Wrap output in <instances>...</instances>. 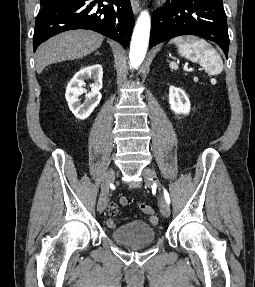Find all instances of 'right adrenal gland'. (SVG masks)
<instances>
[{"label": "right adrenal gland", "mask_w": 255, "mask_h": 287, "mask_svg": "<svg viewBox=\"0 0 255 287\" xmlns=\"http://www.w3.org/2000/svg\"><path fill=\"white\" fill-rule=\"evenodd\" d=\"M97 54H99V56H101L100 52H96V56H97Z\"/></svg>", "instance_id": "right-adrenal-gland-1"}]
</instances>
